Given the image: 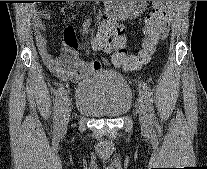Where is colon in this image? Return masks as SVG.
<instances>
[{"label": "colon", "instance_id": "5ec220e1", "mask_svg": "<svg viewBox=\"0 0 207 169\" xmlns=\"http://www.w3.org/2000/svg\"><path fill=\"white\" fill-rule=\"evenodd\" d=\"M172 3L173 1H153V7L145 19V39L141 50L136 55L128 54L124 44H115L113 31L100 27L92 40L93 49L102 52L113 51L112 62L115 66L127 70L140 68L150 60L157 44L168 32Z\"/></svg>", "mask_w": 207, "mask_h": 169}]
</instances>
